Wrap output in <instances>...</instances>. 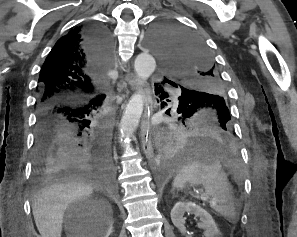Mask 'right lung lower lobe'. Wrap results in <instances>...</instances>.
I'll return each mask as SVG.
<instances>
[{"mask_svg": "<svg viewBox=\"0 0 297 237\" xmlns=\"http://www.w3.org/2000/svg\"><path fill=\"white\" fill-rule=\"evenodd\" d=\"M87 46L96 63L108 65L111 38L103 26L87 28ZM105 95L79 103H53L37 109L33 176L44 182L77 173L110 177V143L103 121L93 118ZM94 128L93 132L86 130Z\"/></svg>", "mask_w": 297, "mask_h": 237, "instance_id": "right-lung-lower-lobe-1", "label": "right lung lower lobe"}]
</instances>
